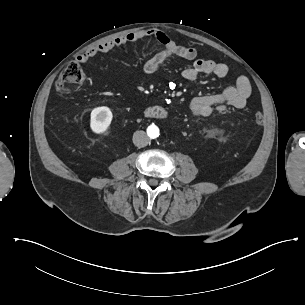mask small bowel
Returning <instances> with one entry per match:
<instances>
[{
    "label": "small bowel",
    "mask_w": 305,
    "mask_h": 305,
    "mask_svg": "<svg viewBox=\"0 0 305 305\" xmlns=\"http://www.w3.org/2000/svg\"><path fill=\"white\" fill-rule=\"evenodd\" d=\"M154 38L163 49L149 58L143 65V72L154 74L159 67L173 57H179L192 62V65L182 73L186 81H194L200 74H213L218 78H225L229 74L226 64L211 59L202 58L195 48L177 44L169 35L161 30H140L126 33L114 39L106 40L92 48L78 53L81 62L90 61L96 56L109 52L126 44ZM252 92L249 80L245 76H238L233 86L221 92L210 93L194 97L189 103V110L193 116L207 117L215 110L226 108L242 109L246 106Z\"/></svg>",
    "instance_id": "obj_1"
}]
</instances>
